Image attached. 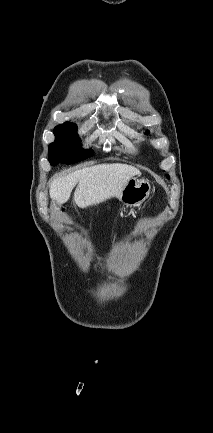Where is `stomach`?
Segmentation results:
<instances>
[{"instance_id":"0dacf381","label":"stomach","mask_w":213,"mask_h":433,"mask_svg":"<svg viewBox=\"0 0 213 433\" xmlns=\"http://www.w3.org/2000/svg\"><path fill=\"white\" fill-rule=\"evenodd\" d=\"M151 192V185L148 180L131 178L123 187L118 198L127 206L142 204Z\"/></svg>"}]
</instances>
